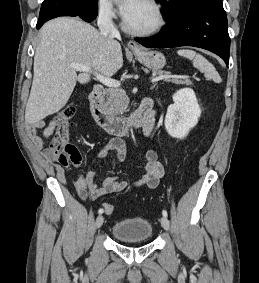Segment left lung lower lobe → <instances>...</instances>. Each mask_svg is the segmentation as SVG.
Masks as SVG:
<instances>
[{
    "label": "left lung lower lobe",
    "instance_id": "0a47b994",
    "mask_svg": "<svg viewBox=\"0 0 259 283\" xmlns=\"http://www.w3.org/2000/svg\"><path fill=\"white\" fill-rule=\"evenodd\" d=\"M135 40L147 48H203L220 56L227 66L229 64L230 38L222 0L198 3L186 13L167 21L155 37Z\"/></svg>",
    "mask_w": 259,
    "mask_h": 283
}]
</instances>
